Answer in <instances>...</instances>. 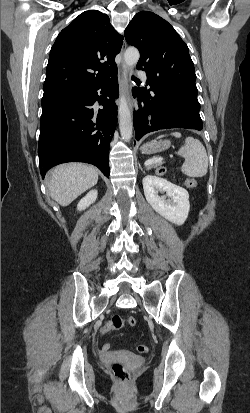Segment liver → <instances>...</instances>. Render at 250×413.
<instances>
[{"label":"liver","mask_w":250,"mask_h":413,"mask_svg":"<svg viewBox=\"0 0 250 413\" xmlns=\"http://www.w3.org/2000/svg\"><path fill=\"white\" fill-rule=\"evenodd\" d=\"M49 174L51 197L61 206H68L98 181L97 170L82 163L61 164L50 170Z\"/></svg>","instance_id":"obj_1"}]
</instances>
